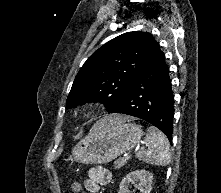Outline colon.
<instances>
[{
	"instance_id": "colon-1",
	"label": "colon",
	"mask_w": 221,
	"mask_h": 193,
	"mask_svg": "<svg viewBox=\"0 0 221 193\" xmlns=\"http://www.w3.org/2000/svg\"><path fill=\"white\" fill-rule=\"evenodd\" d=\"M82 190V185L79 181H75L73 184H72V192L73 193H80Z\"/></svg>"
}]
</instances>
